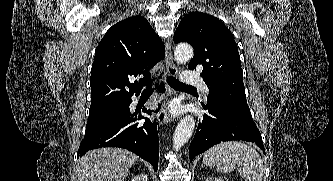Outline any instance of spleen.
<instances>
[{
	"label": "spleen",
	"mask_w": 333,
	"mask_h": 181,
	"mask_svg": "<svg viewBox=\"0 0 333 181\" xmlns=\"http://www.w3.org/2000/svg\"><path fill=\"white\" fill-rule=\"evenodd\" d=\"M203 163L216 167L220 173H230L237 165L245 181H262L264 175L261 156L242 142L230 141L213 146L204 154Z\"/></svg>",
	"instance_id": "1"
}]
</instances>
